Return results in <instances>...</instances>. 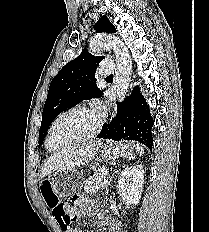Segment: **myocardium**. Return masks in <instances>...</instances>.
<instances>
[{
    "label": "myocardium",
    "instance_id": "f54148a6",
    "mask_svg": "<svg viewBox=\"0 0 209 232\" xmlns=\"http://www.w3.org/2000/svg\"><path fill=\"white\" fill-rule=\"evenodd\" d=\"M75 111H85V112H89V113H94L97 115L98 117V120H97V123L95 124V126L88 132L84 133V134H81L77 137H74V138H70L69 140H67L65 143H63L60 147L56 148V149H53L50 147V138H51V135H52V132H53V129L55 128V126L59 123V121L64 117L66 116L67 114L71 113V112H75ZM103 117L98 114L94 109H92L91 107H88L86 105H76V106H73V107H70L66 110H64L63 112H61L56 118L55 120L52 122V124L50 125L49 129H48V132H47V136H46V139H45V145H46V148L49 150V151H57L71 143H75V142H79V141H82V140H86V139H89L93 136H95L96 134L99 133V131L101 130L102 128V125H103Z\"/></svg>",
    "mask_w": 209,
    "mask_h": 232
}]
</instances>
